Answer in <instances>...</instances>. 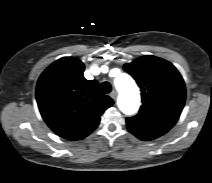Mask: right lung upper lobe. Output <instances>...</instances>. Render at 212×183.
<instances>
[{
	"label": "right lung upper lobe",
	"instance_id": "cb5924a9",
	"mask_svg": "<svg viewBox=\"0 0 212 183\" xmlns=\"http://www.w3.org/2000/svg\"><path fill=\"white\" fill-rule=\"evenodd\" d=\"M84 64L64 57L40 76L36 99L48 126L67 140H80L96 129L104 110L113 100L104 95L95 80L83 76Z\"/></svg>",
	"mask_w": 212,
	"mask_h": 183
}]
</instances>
